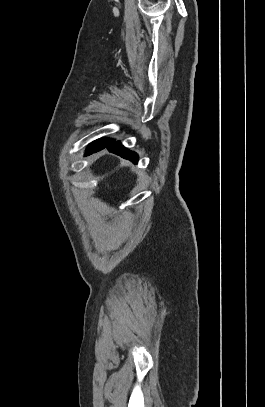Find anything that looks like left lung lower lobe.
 <instances>
[{
    "label": "left lung lower lobe",
    "instance_id": "0a47b994",
    "mask_svg": "<svg viewBox=\"0 0 265 407\" xmlns=\"http://www.w3.org/2000/svg\"><path fill=\"white\" fill-rule=\"evenodd\" d=\"M104 148H107L112 153H115L125 159L131 160L134 163H137L138 161V155L135 152L126 149L119 141L113 140H109L106 143L99 144L87 149L86 155L98 152Z\"/></svg>",
    "mask_w": 265,
    "mask_h": 407
}]
</instances>
